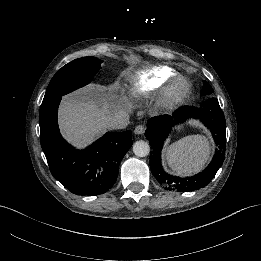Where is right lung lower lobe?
I'll list each match as a JSON object with an SVG mask.
<instances>
[{
  "label": "right lung lower lobe",
  "mask_w": 261,
  "mask_h": 261,
  "mask_svg": "<svg viewBox=\"0 0 261 261\" xmlns=\"http://www.w3.org/2000/svg\"><path fill=\"white\" fill-rule=\"evenodd\" d=\"M62 96L43 102L39 113L40 140L55 179L76 195L106 193L118 177V165L132 146L131 131L108 132L85 150H76L61 136L57 111Z\"/></svg>",
  "instance_id": "1"
}]
</instances>
